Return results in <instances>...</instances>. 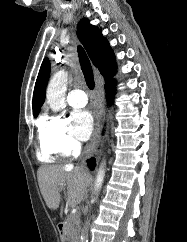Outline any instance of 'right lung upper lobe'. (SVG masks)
Returning a JSON list of instances; mask_svg holds the SVG:
<instances>
[{
	"label": "right lung upper lobe",
	"instance_id": "1",
	"mask_svg": "<svg viewBox=\"0 0 187 242\" xmlns=\"http://www.w3.org/2000/svg\"><path fill=\"white\" fill-rule=\"evenodd\" d=\"M77 29V35L93 65L99 69L106 82L113 80L112 77L116 73V61L107 39L103 37L98 27L90 24L87 18L80 20ZM50 69V62L45 58L34 88L33 113L35 117L45 101V90L49 80Z\"/></svg>",
	"mask_w": 187,
	"mask_h": 242
}]
</instances>
